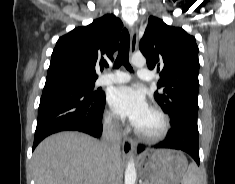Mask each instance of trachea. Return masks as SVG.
Listing matches in <instances>:
<instances>
[{
    "label": "trachea",
    "mask_w": 235,
    "mask_h": 184,
    "mask_svg": "<svg viewBox=\"0 0 235 184\" xmlns=\"http://www.w3.org/2000/svg\"><path fill=\"white\" fill-rule=\"evenodd\" d=\"M129 47H130V37L126 29L123 30L120 40V47L118 51V56L114 63V68H118L124 65L129 72H133L132 67L129 63Z\"/></svg>",
    "instance_id": "3493384b"
}]
</instances>
